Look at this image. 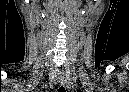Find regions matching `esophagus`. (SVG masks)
Wrapping results in <instances>:
<instances>
[{
	"label": "esophagus",
	"instance_id": "34e87169",
	"mask_svg": "<svg viewBox=\"0 0 129 92\" xmlns=\"http://www.w3.org/2000/svg\"><path fill=\"white\" fill-rule=\"evenodd\" d=\"M58 82L60 85H63L65 83V77L63 75H60L58 77Z\"/></svg>",
	"mask_w": 129,
	"mask_h": 92
}]
</instances>
